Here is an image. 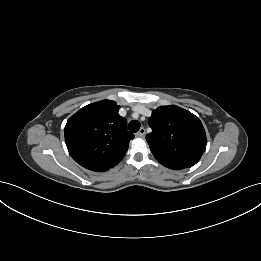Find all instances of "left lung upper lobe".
Returning a JSON list of instances; mask_svg holds the SVG:
<instances>
[{"label":"left lung upper lobe","instance_id":"5c2ea615","mask_svg":"<svg viewBox=\"0 0 261 261\" xmlns=\"http://www.w3.org/2000/svg\"><path fill=\"white\" fill-rule=\"evenodd\" d=\"M152 132L146 136L158 161L189 168L206 148V133L197 116L175 105L153 110L148 121Z\"/></svg>","mask_w":261,"mask_h":261}]
</instances>
